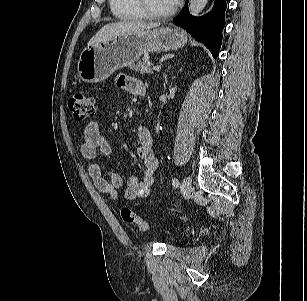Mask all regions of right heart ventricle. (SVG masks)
Instances as JSON below:
<instances>
[{"label":"right heart ventricle","instance_id":"obj_1","mask_svg":"<svg viewBox=\"0 0 307 301\" xmlns=\"http://www.w3.org/2000/svg\"><path fill=\"white\" fill-rule=\"evenodd\" d=\"M109 4L113 15L120 20L133 21L145 18L136 0H109Z\"/></svg>","mask_w":307,"mask_h":301}]
</instances>
